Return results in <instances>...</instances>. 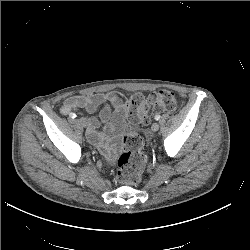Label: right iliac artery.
Instances as JSON below:
<instances>
[{
  "instance_id": "right-iliac-artery-1",
  "label": "right iliac artery",
  "mask_w": 250,
  "mask_h": 250,
  "mask_svg": "<svg viewBox=\"0 0 250 250\" xmlns=\"http://www.w3.org/2000/svg\"><path fill=\"white\" fill-rule=\"evenodd\" d=\"M69 117L72 118V119H74L76 117V114L75 113H70Z\"/></svg>"
}]
</instances>
